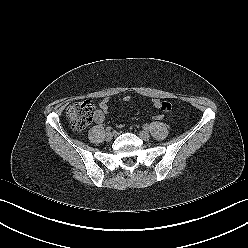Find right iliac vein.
<instances>
[{
    "label": "right iliac vein",
    "instance_id": "63e3f726",
    "mask_svg": "<svg viewBox=\"0 0 248 248\" xmlns=\"http://www.w3.org/2000/svg\"><path fill=\"white\" fill-rule=\"evenodd\" d=\"M113 136H114L113 132H107L106 133V140L107 141L112 140Z\"/></svg>",
    "mask_w": 248,
    "mask_h": 248
}]
</instances>
